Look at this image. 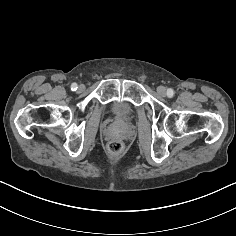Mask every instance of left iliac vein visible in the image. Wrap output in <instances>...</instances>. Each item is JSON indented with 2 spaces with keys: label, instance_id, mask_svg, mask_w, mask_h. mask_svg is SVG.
I'll return each mask as SVG.
<instances>
[{
  "label": "left iliac vein",
  "instance_id": "4c4485c4",
  "mask_svg": "<svg viewBox=\"0 0 236 236\" xmlns=\"http://www.w3.org/2000/svg\"><path fill=\"white\" fill-rule=\"evenodd\" d=\"M157 93L161 96H165L166 95V88L164 86L157 87Z\"/></svg>",
  "mask_w": 236,
  "mask_h": 236
}]
</instances>
